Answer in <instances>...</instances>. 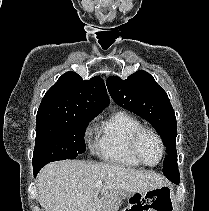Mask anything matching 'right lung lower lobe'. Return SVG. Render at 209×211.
Returning a JSON list of instances; mask_svg holds the SVG:
<instances>
[{
	"mask_svg": "<svg viewBox=\"0 0 209 211\" xmlns=\"http://www.w3.org/2000/svg\"><path fill=\"white\" fill-rule=\"evenodd\" d=\"M41 168H34V176L37 175L38 171L40 170Z\"/></svg>",
	"mask_w": 209,
	"mask_h": 211,
	"instance_id": "obj_1",
	"label": "right lung lower lobe"
}]
</instances>
